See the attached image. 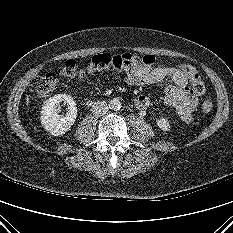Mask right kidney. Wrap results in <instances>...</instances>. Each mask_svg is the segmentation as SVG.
Segmentation results:
<instances>
[{"mask_svg": "<svg viewBox=\"0 0 233 233\" xmlns=\"http://www.w3.org/2000/svg\"><path fill=\"white\" fill-rule=\"evenodd\" d=\"M65 102L68 106L66 116L59 115V103ZM77 118V107L70 95L58 94L44 102L41 110V123L54 136H60L70 130Z\"/></svg>", "mask_w": 233, "mask_h": 233, "instance_id": "right-kidney-1", "label": "right kidney"}]
</instances>
